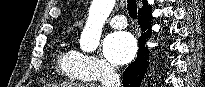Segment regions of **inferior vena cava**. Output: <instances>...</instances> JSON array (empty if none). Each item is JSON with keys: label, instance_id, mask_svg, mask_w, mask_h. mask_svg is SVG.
I'll use <instances>...</instances> for the list:
<instances>
[{"label": "inferior vena cava", "instance_id": "inferior-vena-cava-1", "mask_svg": "<svg viewBox=\"0 0 205 87\" xmlns=\"http://www.w3.org/2000/svg\"><path fill=\"white\" fill-rule=\"evenodd\" d=\"M101 82L103 87H120L121 81L119 74L113 65L107 64L102 71Z\"/></svg>", "mask_w": 205, "mask_h": 87}]
</instances>
